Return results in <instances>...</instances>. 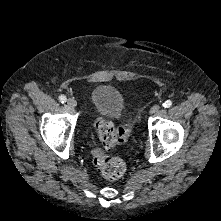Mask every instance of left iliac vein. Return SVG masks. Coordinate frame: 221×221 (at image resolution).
Masks as SVG:
<instances>
[{
  "label": "left iliac vein",
  "instance_id": "left-iliac-vein-1",
  "mask_svg": "<svg viewBox=\"0 0 221 221\" xmlns=\"http://www.w3.org/2000/svg\"><path fill=\"white\" fill-rule=\"evenodd\" d=\"M159 111H160V106L157 105V104L153 105V106L151 107V109H150V113H151V114H156V113H158Z\"/></svg>",
  "mask_w": 221,
  "mask_h": 221
}]
</instances>
